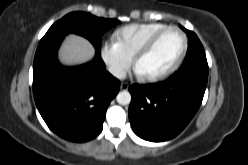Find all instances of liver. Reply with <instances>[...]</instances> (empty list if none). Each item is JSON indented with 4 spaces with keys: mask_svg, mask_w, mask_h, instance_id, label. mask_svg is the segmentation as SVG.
Instances as JSON below:
<instances>
[{
    "mask_svg": "<svg viewBox=\"0 0 248 165\" xmlns=\"http://www.w3.org/2000/svg\"><path fill=\"white\" fill-rule=\"evenodd\" d=\"M94 54L95 49L87 39L71 34L59 50V60L64 65L75 66L90 61Z\"/></svg>",
    "mask_w": 248,
    "mask_h": 165,
    "instance_id": "6515ba94",
    "label": "liver"
}]
</instances>
